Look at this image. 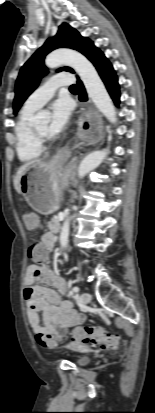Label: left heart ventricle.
Wrapping results in <instances>:
<instances>
[{"label": "left heart ventricle", "instance_id": "1", "mask_svg": "<svg viewBox=\"0 0 155 413\" xmlns=\"http://www.w3.org/2000/svg\"><path fill=\"white\" fill-rule=\"evenodd\" d=\"M35 127L41 134L47 136L48 124L46 122L37 124V125H35Z\"/></svg>", "mask_w": 155, "mask_h": 413}]
</instances>
